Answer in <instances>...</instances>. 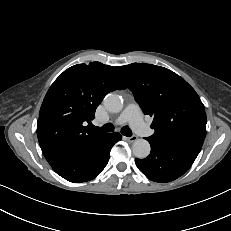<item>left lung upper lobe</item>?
<instances>
[{"label": "left lung upper lobe", "mask_w": 231, "mask_h": 231, "mask_svg": "<svg viewBox=\"0 0 231 231\" xmlns=\"http://www.w3.org/2000/svg\"><path fill=\"white\" fill-rule=\"evenodd\" d=\"M119 74L145 115L153 116L149 140L201 148L206 112L195 90L173 71L152 64L120 66Z\"/></svg>", "instance_id": "left-lung-upper-lobe-1"}]
</instances>
